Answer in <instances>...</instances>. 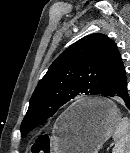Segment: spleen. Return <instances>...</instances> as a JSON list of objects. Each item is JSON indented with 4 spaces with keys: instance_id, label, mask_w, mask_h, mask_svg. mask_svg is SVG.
I'll use <instances>...</instances> for the list:
<instances>
[{
    "instance_id": "spleen-1",
    "label": "spleen",
    "mask_w": 130,
    "mask_h": 153,
    "mask_svg": "<svg viewBox=\"0 0 130 153\" xmlns=\"http://www.w3.org/2000/svg\"><path fill=\"white\" fill-rule=\"evenodd\" d=\"M115 147L113 153H130V120L121 118L113 133Z\"/></svg>"
}]
</instances>
